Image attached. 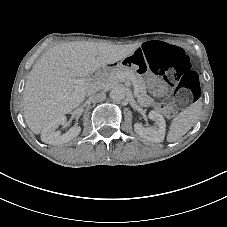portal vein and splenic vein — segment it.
<instances>
[{
    "label": "portal vein and splenic vein",
    "mask_w": 227,
    "mask_h": 227,
    "mask_svg": "<svg viewBox=\"0 0 227 227\" xmlns=\"http://www.w3.org/2000/svg\"><path fill=\"white\" fill-rule=\"evenodd\" d=\"M126 75H127V73L126 74L121 73V74L118 75V77H119V79H124V80L130 79V80H132L133 85H134V94L135 95L138 94V92H139L138 91V84L136 83L135 79L133 78V76L127 77Z\"/></svg>",
    "instance_id": "obj_1"
}]
</instances>
